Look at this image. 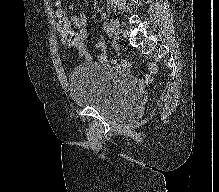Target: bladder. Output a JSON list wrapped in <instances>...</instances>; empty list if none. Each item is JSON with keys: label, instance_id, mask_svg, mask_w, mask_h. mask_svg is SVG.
Listing matches in <instances>:
<instances>
[{"label": "bladder", "instance_id": "31cf9c89", "mask_svg": "<svg viewBox=\"0 0 219 192\" xmlns=\"http://www.w3.org/2000/svg\"><path fill=\"white\" fill-rule=\"evenodd\" d=\"M71 99L95 109L114 121L133 118L141 106V94L130 78L120 69L107 63H83L68 75Z\"/></svg>", "mask_w": 219, "mask_h": 192}]
</instances>
